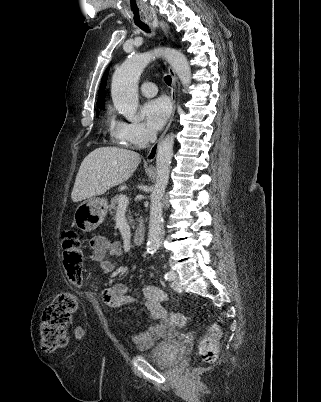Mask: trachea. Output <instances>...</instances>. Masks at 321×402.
Segmentation results:
<instances>
[{
	"label": "trachea",
	"mask_w": 321,
	"mask_h": 402,
	"mask_svg": "<svg viewBox=\"0 0 321 402\" xmlns=\"http://www.w3.org/2000/svg\"><path fill=\"white\" fill-rule=\"evenodd\" d=\"M137 26H138L141 30H143V31H145V32H150V29H149V27H148L146 24H137ZM164 80H165V82H166L167 85L171 86V83H172L171 76H169V75L165 76Z\"/></svg>",
	"instance_id": "3493384b"
}]
</instances>
